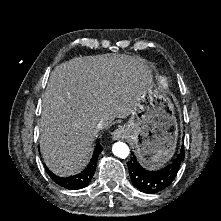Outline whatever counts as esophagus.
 Here are the masks:
<instances>
[{
	"mask_svg": "<svg viewBox=\"0 0 221 221\" xmlns=\"http://www.w3.org/2000/svg\"><path fill=\"white\" fill-rule=\"evenodd\" d=\"M112 138L114 140H119V139H127L128 138V133L126 131V129L124 127H119L117 129H115L112 132Z\"/></svg>",
	"mask_w": 221,
	"mask_h": 221,
	"instance_id": "1",
	"label": "esophagus"
}]
</instances>
